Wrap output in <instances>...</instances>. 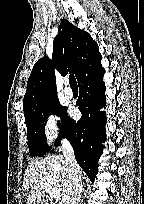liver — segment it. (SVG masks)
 <instances>
[{
	"label": "liver",
	"instance_id": "1",
	"mask_svg": "<svg viewBox=\"0 0 144 204\" xmlns=\"http://www.w3.org/2000/svg\"><path fill=\"white\" fill-rule=\"evenodd\" d=\"M81 179L84 173L80 170ZM49 183L52 188L60 191L63 198L68 189L66 161L62 155L48 156L29 163L24 173L23 190H30L27 204H35L45 193L44 185Z\"/></svg>",
	"mask_w": 144,
	"mask_h": 204
}]
</instances>
